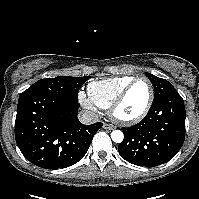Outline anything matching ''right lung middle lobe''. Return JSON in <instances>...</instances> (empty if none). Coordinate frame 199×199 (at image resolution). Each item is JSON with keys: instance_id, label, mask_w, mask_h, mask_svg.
<instances>
[{"instance_id": "right-lung-middle-lobe-1", "label": "right lung middle lobe", "mask_w": 199, "mask_h": 199, "mask_svg": "<svg viewBox=\"0 0 199 199\" xmlns=\"http://www.w3.org/2000/svg\"><path fill=\"white\" fill-rule=\"evenodd\" d=\"M89 78L90 76H58L55 78L41 79L22 92L19 98L41 93L77 101L80 87Z\"/></svg>"}]
</instances>
